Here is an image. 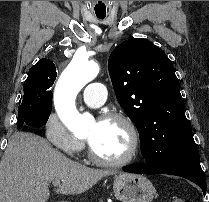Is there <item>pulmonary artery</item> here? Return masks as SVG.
Instances as JSON below:
<instances>
[{
    "instance_id": "pulmonary-artery-1",
    "label": "pulmonary artery",
    "mask_w": 209,
    "mask_h": 202,
    "mask_svg": "<svg viewBox=\"0 0 209 202\" xmlns=\"http://www.w3.org/2000/svg\"><path fill=\"white\" fill-rule=\"evenodd\" d=\"M107 86L101 82H92L88 84L83 92V99L86 105L90 107H100L106 99Z\"/></svg>"
}]
</instances>
